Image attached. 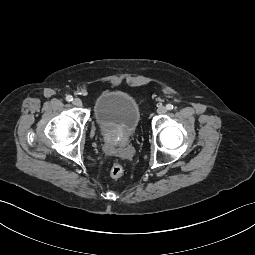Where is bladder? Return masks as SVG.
Instances as JSON below:
<instances>
[{
  "instance_id": "obj_1",
  "label": "bladder",
  "mask_w": 255,
  "mask_h": 255,
  "mask_svg": "<svg viewBox=\"0 0 255 255\" xmlns=\"http://www.w3.org/2000/svg\"><path fill=\"white\" fill-rule=\"evenodd\" d=\"M94 119L104 132L125 135L134 133L141 119L136 99L122 91H109L99 96L93 107Z\"/></svg>"
}]
</instances>
